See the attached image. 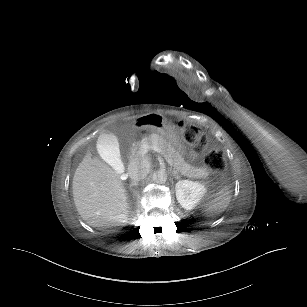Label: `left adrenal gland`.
<instances>
[{"mask_svg": "<svg viewBox=\"0 0 307 307\" xmlns=\"http://www.w3.org/2000/svg\"><path fill=\"white\" fill-rule=\"evenodd\" d=\"M172 174L174 175V177H175L176 179H178V178H179V176H178V174H177V171H176V170L172 171Z\"/></svg>", "mask_w": 307, "mask_h": 307, "instance_id": "obj_1", "label": "left adrenal gland"}]
</instances>
